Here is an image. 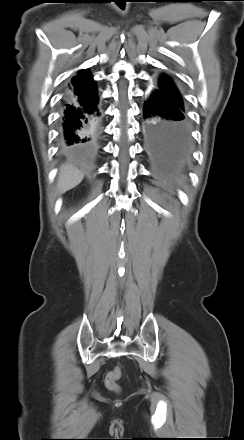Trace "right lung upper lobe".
<instances>
[{
  "instance_id": "1",
  "label": "right lung upper lobe",
  "mask_w": 244,
  "mask_h": 440,
  "mask_svg": "<svg viewBox=\"0 0 244 440\" xmlns=\"http://www.w3.org/2000/svg\"><path fill=\"white\" fill-rule=\"evenodd\" d=\"M97 94L96 83L94 82L90 72L79 71L68 88L67 97L82 99L89 98Z\"/></svg>"
}]
</instances>
